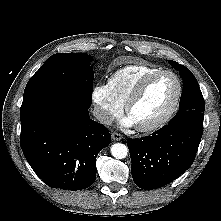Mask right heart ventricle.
<instances>
[{"label":"right heart ventricle","instance_id":"1","mask_svg":"<svg viewBox=\"0 0 221 221\" xmlns=\"http://www.w3.org/2000/svg\"><path fill=\"white\" fill-rule=\"evenodd\" d=\"M158 70L160 68L146 64L126 65L109 77L107 85L113 97L123 106L139 81Z\"/></svg>","mask_w":221,"mask_h":221}]
</instances>
